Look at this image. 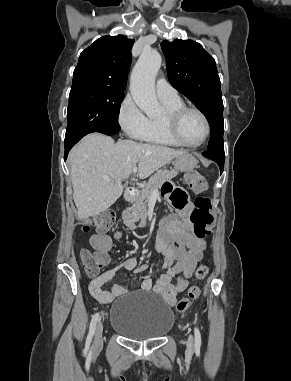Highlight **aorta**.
Returning <instances> with one entry per match:
<instances>
[{
	"instance_id": "obj_1",
	"label": "aorta",
	"mask_w": 291,
	"mask_h": 381,
	"mask_svg": "<svg viewBox=\"0 0 291 381\" xmlns=\"http://www.w3.org/2000/svg\"><path fill=\"white\" fill-rule=\"evenodd\" d=\"M162 63L156 50H144L135 64L130 79V92L137 106L148 116L161 112L155 93V77Z\"/></svg>"
}]
</instances>
